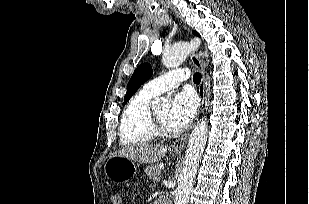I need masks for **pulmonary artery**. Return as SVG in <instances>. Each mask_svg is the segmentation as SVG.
Here are the masks:
<instances>
[{"label":"pulmonary artery","instance_id":"pulmonary-artery-1","mask_svg":"<svg viewBox=\"0 0 309 204\" xmlns=\"http://www.w3.org/2000/svg\"><path fill=\"white\" fill-rule=\"evenodd\" d=\"M189 78L186 70H173L160 75L143 86V91L151 95L157 96L169 89L179 86L183 81Z\"/></svg>","mask_w":309,"mask_h":204}]
</instances>
